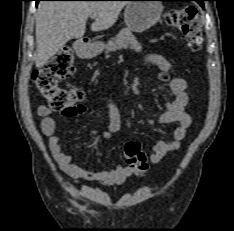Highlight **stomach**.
<instances>
[{"label":"stomach","mask_w":234,"mask_h":231,"mask_svg":"<svg viewBox=\"0 0 234 231\" xmlns=\"http://www.w3.org/2000/svg\"><path fill=\"white\" fill-rule=\"evenodd\" d=\"M163 5L155 0H132L124 11V21L129 30L142 33L153 27L161 18ZM104 49L102 42L83 45L77 49L83 58H93Z\"/></svg>","instance_id":"stomach-1"}]
</instances>
